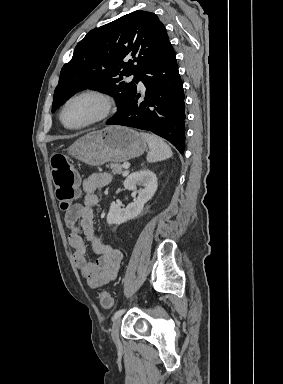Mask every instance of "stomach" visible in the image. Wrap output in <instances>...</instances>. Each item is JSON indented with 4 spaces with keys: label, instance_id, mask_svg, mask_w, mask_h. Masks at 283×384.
I'll use <instances>...</instances> for the list:
<instances>
[{
    "label": "stomach",
    "instance_id": "1",
    "mask_svg": "<svg viewBox=\"0 0 283 384\" xmlns=\"http://www.w3.org/2000/svg\"><path fill=\"white\" fill-rule=\"evenodd\" d=\"M147 148L145 138L135 130L123 126H108L99 132H90L76 140L68 154L89 166H102L106 162H127L142 156Z\"/></svg>",
    "mask_w": 283,
    "mask_h": 384
}]
</instances>
